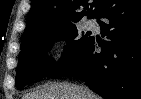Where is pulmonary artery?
Returning <instances> with one entry per match:
<instances>
[{"label": "pulmonary artery", "mask_w": 141, "mask_h": 99, "mask_svg": "<svg viewBox=\"0 0 141 99\" xmlns=\"http://www.w3.org/2000/svg\"><path fill=\"white\" fill-rule=\"evenodd\" d=\"M94 22L93 21H91V20H87L86 21V28H88V29H91V28H93L94 27Z\"/></svg>", "instance_id": "pulmonary-artery-1"}]
</instances>
